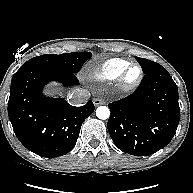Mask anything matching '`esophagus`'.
I'll use <instances>...</instances> for the list:
<instances>
[{
	"mask_svg": "<svg viewBox=\"0 0 193 193\" xmlns=\"http://www.w3.org/2000/svg\"><path fill=\"white\" fill-rule=\"evenodd\" d=\"M93 103L97 107L99 105L104 104V101L102 99H100V98H95V99H93Z\"/></svg>",
	"mask_w": 193,
	"mask_h": 193,
	"instance_id": "1",
	"label": "esophagus"
}]
</instances>
